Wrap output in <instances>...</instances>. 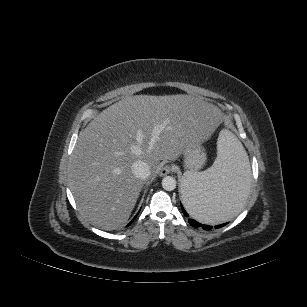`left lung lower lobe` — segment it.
<instances>
[{
  "mask_svg": "<svg viewBox=\"0 0 307 307\" xmlns=\"http://www.w3.org/2000/svg\"><path fill=\"white\" fill-rule=\"evenodd\" d=\"M245 177V171L242 168L235 169L229 176V184L223 191L221 199V205L229 213H236L241 206L242 185L245 181ZM181 209L183 214L188 217V213L185 211L182 204ZM189 223L196 228L201 227L204 230H210L213 228L212 226L201 224L194 219H189ZM226 224L227 223L216 225L215 228L223 227Z\"/></svg>",
  "mask_w": 307,
  "mask_h": 307,
  "instance_id": "obj_1",
  "label": "left lung lower lobe"
}]
</instances>
